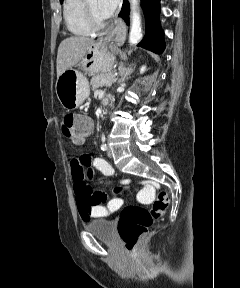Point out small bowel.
Instances as JSON below:
<instances>
[{"instance_id": "obj_1", "label": "small bowel", "mask_w": 240, "mask_h": 288, "mask_svg": "<svg viewBox=\"0 0 240 288\" xmlns=\"http://www.w3.org/2000/svg\"><path fill=\"white\" fill-rule=\"evenodd\" d=\"M97 96L102 98L103 94L98 92ZM108 102L107 98H103V103L107 104ZM84 140L85 137L74 140V145L80 147ZM70 168L77 208L84 221L106 217L122 206L123 200L118 197L110 199L105 205L107 195L102 191L93 190L85 180L86 175L91 178L94 171L110 178L115 177L114 169L105 159L93 157L87 152H80L78 156L71 159ZM120 192L121 189L119 188L114 190L115 194ZM153 193L152 187H147L144 191V195L149 198L153 196Z\"/></svg>"}]
</instances>
